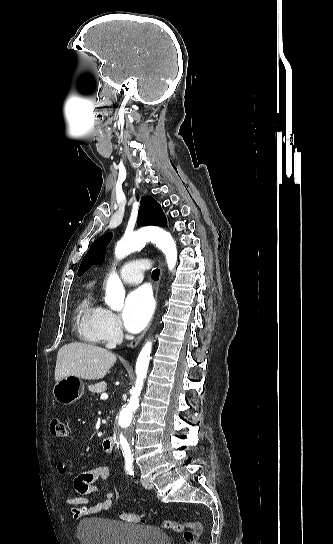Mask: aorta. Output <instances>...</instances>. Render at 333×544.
I'll list each match as a JSON object with an SVG mask.
<instances>
[{"label": "aorta", "instance_id": "aorta-1", "mask_svg": "<svg viewBox=\"0 0 333 544\" xmlns=\"http://www.w3.org/2000/svg\"><path fill=\"white\" fill-rule=\"evenodd\" d=\"M153 242L166 256L169 269H172L177 262V248L169 233L157 227L142 228L132 234L125 235L116 245L115 256L117 259L124 258L132 252L141 249L146 242ZM125 290L123 284L115 272L108 278L106 286L105 303L112 309L119 311L124 305ZM151 342H147L142 348L136 362V383L131 390V398L119 415L117 424V440L126 458H132L133 412L139 406V396L143 387L144 379L150 361Z\"/></svg>", "mask_w": 333, "mask_h": 544}]
</instances>
